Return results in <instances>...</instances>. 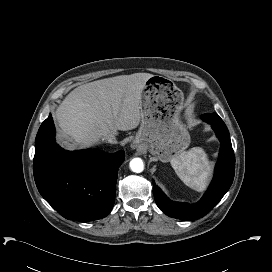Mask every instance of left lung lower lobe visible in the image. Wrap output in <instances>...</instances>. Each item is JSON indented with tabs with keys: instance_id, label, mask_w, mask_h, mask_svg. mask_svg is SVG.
I'll use <instances>...</instances> for the list:
<instances>
[{
	"instance_id": "1",
	"label": "left lung lower lobe",
	"mask_w": 272,
	"mask_h": 272,
	"mask_svg": "<svg viewBox=\"0 0 272 272\" xmlns=\"http://www.w3.org/2000/svg\"><path fill=\"white\" fill-rule=\"evenodd\" d=\"M201 118L211 124L221 142L215 175L202 199L193 205L173 202L153 181V193L157 206L166 215L181 220H195L206 215L222 199L234 178L235 157L225 123L216 113L203 114Z\"/></svg>"
}]
</instances>
